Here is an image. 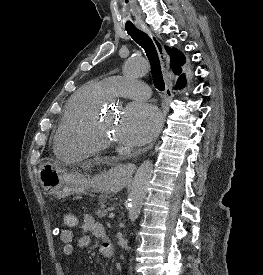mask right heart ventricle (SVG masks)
<instances>
[{"instance_id":"obj_1","label":"right heart ventricle","mask_w":263,"mask_h":275,"mask_svg":"<svg viewBox=\"0 0 263 275\" xmlns=\"http://www.w3.org/2000/svg\"><path fill=\"white\" fill-rule=\"evenodd\" d=\"M109 98L107 91L99 82L86 84L71 97L65 106L54 139L58 154L70 159H82L97 152L80 141L79 132L85 122Z\"/></svg>"}]
</instances>
